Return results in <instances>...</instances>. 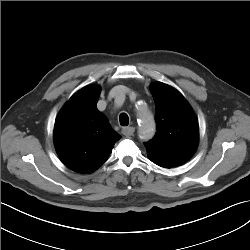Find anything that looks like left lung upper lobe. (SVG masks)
I'll list each match as a JSON object with an SVG mask.
<instances>
[{"label":"left lung upper lobe","instance_id":"obj_1","mask_svg":"<svg viewBox=\"0 0 250 250\" xmlns=\"http://www.w3.org/2000/svg\"><path fill=\"white\" fill-rule=\"evenodd\" d=\"M156 107L157 133L145 143L149 157L187 161L195 152L197 118L185 98L173 87L158 82L150 88Z\"/></svg>","mask_w":250,"mask_h":250}]
</instances>
